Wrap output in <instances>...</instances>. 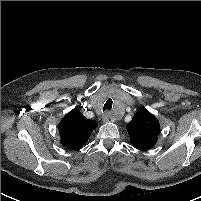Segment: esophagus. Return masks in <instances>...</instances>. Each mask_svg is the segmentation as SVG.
<instances>
[{"mask_svg": "<svg viewBox=\"0 0 201 201\" xmlns=\"http://www.w3.org/2000/svg\"><path fill=\"white\" fill-rule=\"evenodd\" d=\"M102 119H103V122H109L110 119H112L110 113H105L103 116H102Z\"/></svg>", "mask_w": 201, "mask_h": 201, "instance_id": "esophagus-1", "label": "esophagus"}]
</instances>
